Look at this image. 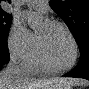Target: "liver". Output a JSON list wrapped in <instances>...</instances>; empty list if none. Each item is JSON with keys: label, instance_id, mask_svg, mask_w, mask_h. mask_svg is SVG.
Here are the masks:
<instances>
[{"label": "liver", "instance_id": "1", "mask_svg": "<svg viewBox=\"0 0 89 89\" xmlns=\"http://www.w3.org/2000/svg\"><path fill=\"white\" fill-rule=\"evenodd\" d=\"M83 83V81L67 78L51 79H31L26 75L11 74L6 70L0 73L1 89H51L58 86H73Z\"/></svg>", "mask_w": 89, "mask_h": 89}]
</instances>
